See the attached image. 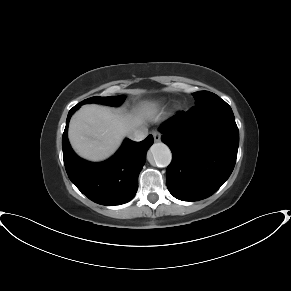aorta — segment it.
<instances>
[{
    "label": "aorta",
    "instance_id": "obj_1",
    "mask_svg": "<svg viewBox=\"0 0 291 291\" xmlns=\"http://www.w3.org/2000/svg\"><path fill=\"white\" fill-rule=\"evenodd\" d=\"M150 154L157 167H167L172 159V153L164 143H154L150 148Z\"/></svg>",
    "mask_w": 291,
    "mask_h": 291
}]
</instances>
